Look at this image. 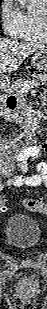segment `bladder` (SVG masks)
Returning <instances> with one entry per match:
<instances>
[{"instance_id": "obj_1", "label": "bladder", "mask_w": 47, "mask_h": 309, "mask_svg": "<svg viewBox=\"0 0 47 309\" xmlns=\"http://www.w3.org/2000/svg\"><path fill=\"white\" fill-rule=\"evenodd\" d=\"M41 235L39 224L29 215L14 214L6 222L5 240L8 245L16 249L35 248L40 243Z\"/></svg>"}]
</instances>
